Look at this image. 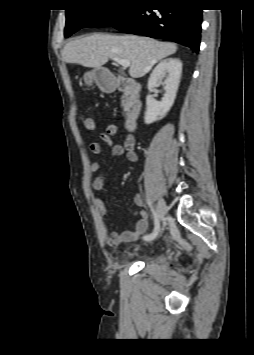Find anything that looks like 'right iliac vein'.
<instances>
[{"label":"right iliac vein","mask_w":254,"mask_h":355,"mask_svg":"<svg viewBox=\"0 0 254 355\" xmlns=\"http://www.w3.org/2000/svg\"><path fill=\"white\" fill-rule=\"evenodd\" d=\"M167 213H168V208L164 199L159 198L156 207V214L158 220L161 222L164 219V217L167 215Z\"/></svg>","instance_id":"1"}]
</instances>
